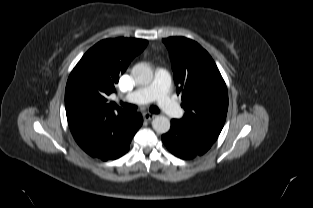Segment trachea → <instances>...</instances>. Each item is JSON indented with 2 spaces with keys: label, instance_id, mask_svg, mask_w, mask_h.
Instances as JSON below:
<instances>
[{
  "label": "trachea",
  "instance_id": "3493384b",
  "mask_svg": "<svg viewBox=\"0 0 313 208\" xmlns=\"http://www.w3.org/2000/svg\"><path fill=\"white\" fill-rule=\"evenodd\" d=\"M121 105L125 109L130 110V111H135L137 109V106L133 105V104L121 102ZM149 110H150L151 113H154V114H158L160 112L159 109L157 107H155V106L150 107Z\"/></svg>",
  "mask_w": 313,
  "mask_h": 208
}]
</instances>
